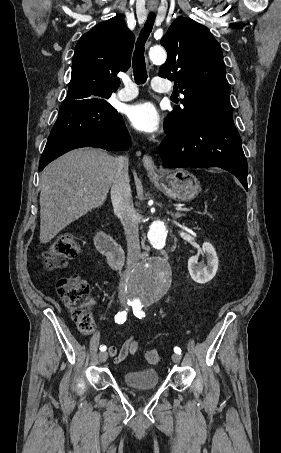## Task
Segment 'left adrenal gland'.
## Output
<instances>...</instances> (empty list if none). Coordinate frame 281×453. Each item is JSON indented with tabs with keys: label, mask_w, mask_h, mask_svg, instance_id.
Segmentation results:
<instances>
[{
	"label": "left adrenal gland",
	"mask_w": 281,
	"mask_h": 453,
	"mask_svg": "<svg viewBox=\"0 0 281 453\" xmlns=\"http://www.w3.org/2000/svg\"><path fill=\"white\" fill-rule=\"evenodd\" d=\"M172 216H174V218H179V216H182V214H179V212H176V214H173V212H171Z\"/></svg>",
	"instance_id": "a2214340"
}]
</instances>
